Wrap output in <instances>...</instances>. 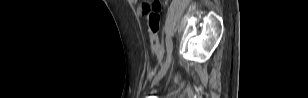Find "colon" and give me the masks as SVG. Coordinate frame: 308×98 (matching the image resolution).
<instances>
[{"instance_id":"obj_1","label":"colon","mask_w":308,"mask_h":98,"mask_svg":"<svg viewBox=\"0 0 308 98\" xmlns=\"http://www.w3.org/2000/svg\"><path fill=\"white\" fill-rule=\"evenodd\" d=\"M162 5L160 1H152L150 3H144L143 9L140 10L141 16H146L148 20V34L150 39V45L152 51L156 55L161 54V44L157 35V31H160L161 26L159 24L160 11Z\"/></svg>"}]
</instances>
